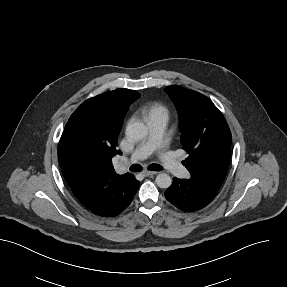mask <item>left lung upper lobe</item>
I'll return each mask as SVG.
<instances>
[{
	"mask_svg": "<svg viewBox=\"0 0 287 287\" xmlns=\"http://www.w3.org/2000/svg\"><path fill=\"white\" fill-rule=\"evenodd\" d=\"M180 120L181 143L189 154L184 165L191 178L219 189L228 170L231 132L213 102L203 94L181 86L165 88Z\"/></svg>",
	"mask_w": 287,
	"mask_h": 287,
	"instance_id": "5c2ea615",
	"label": "left lung upper lobe"
}]
</instances>
